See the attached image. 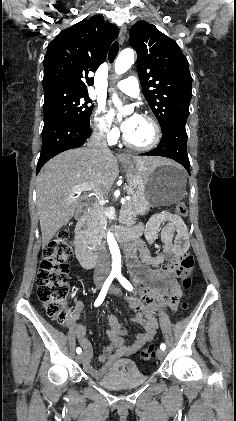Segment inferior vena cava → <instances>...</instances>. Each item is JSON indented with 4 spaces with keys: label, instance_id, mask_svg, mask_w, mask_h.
<instances>
[{
    "label": "inferior vena cava",
    "instance_id": "inferior-vena-cava-1",
    "mask_svg": "<svg viewBox=\"0 0 236 421\" xmlns=\"http://www.w3.org/2000/svg\"><path fill=\"white\" fill-rule=\"evenodd\" d=\"M106 132L107 130L104 126H95V128H93L87 146L92 152H95V154L110 152V148L106 142ZM110 269V261H108L105 253H101V255H99L95 273H110Z\"/></svg>",
    "mask_w": 236,
    "mask_h": 421
}]
</instances>
